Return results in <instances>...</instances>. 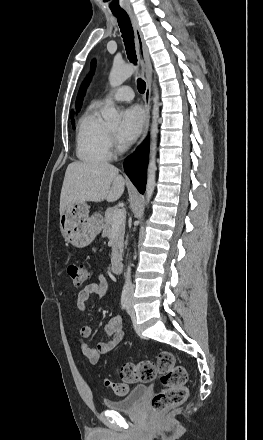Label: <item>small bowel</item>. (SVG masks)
Listing matches in <instances>:
<instances>
[{
    "label": "small bowel",
    "instance_id": "1",
    "mask_svg": "<svg viewBox=\"0 0 263 440\" xmlns=\"http://www.w3.org/2000/svg\"><path fill=\"white\" fill-rule=\"evenodd\" d=\"M109 293V284L103 275L97 276L95 282L86 285L82 288L77 296V308L81 312L87 310V302L92 296H99L104 298ZM105 331L109 339L107 341L99 342L92 347L86 343L93 332L91 325H84L80 329L79 342L84 356L91 362L96 363L102 355L108 354L124 340V324L120 315L112 316L106 324Z\"/></svg>",
    "mask_w": 263,
    "mask_h": 440
}]
</instances>
